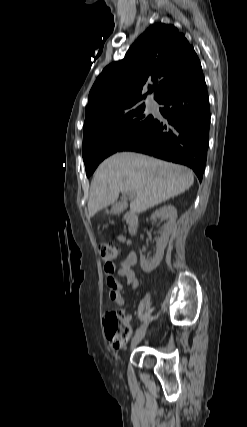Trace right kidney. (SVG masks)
Segmentation results:
<instances>
[{
    "label": "right kidney",
    "instance_id": "obj_1",
    "mask_svg": "<svg viewBox=\"0 0 247 427\" xmlns=\"http://www.w3.org/2000/svg\"><path fill=\"white\" fill-rule=\"evenodd\" d=\"M157 218L165 220L166 223L164 224L163 233L157 241V250L155 256L152 259H146L140 251V265L142 270L146 273H150L151 271L156 269L163 259L164 250L167 246L169 236L175 227V222L177 219V210L172 205H165L156 210L151 215V220L154 221Z\"/></svg>",
    "mask_w": 247,
    "mask_h": 427
}]
</instances>
